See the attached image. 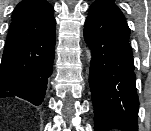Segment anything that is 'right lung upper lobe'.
<instances>
[{
	"mask_svg": "<svg viewBox=\"0 0 151 131\" xmlns=\"http://www.w3.org/2000/svg\"><path fill=\"white\" fill-rule=\"evenodd\" d=\"M46 0H23L13 11L0 67V85L30 75L55 47L56 21Z\"/></svg>",
	"mask_w": 151,
	"mask_h": 131,
	"instance_id": "cb5924a9",
	"label": "right lung upper lobe"
}]
</instances>
